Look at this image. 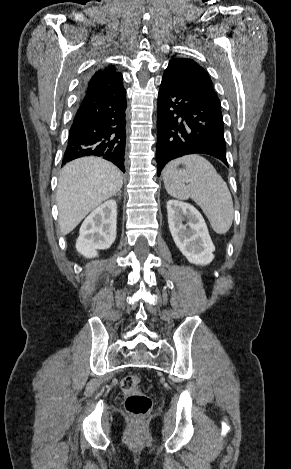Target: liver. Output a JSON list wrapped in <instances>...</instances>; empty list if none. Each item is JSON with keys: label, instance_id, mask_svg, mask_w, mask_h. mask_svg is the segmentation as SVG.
Segmentation results:
<instances>
[{"label": "liver", "instance_id": "obj_1", "mask_svg": "<svg viewBox=\"0 0 291 469\" xmlns=\"http://www.w3.org/2000/svg\"><path fill=\"white\" fill-rule=\"evenodd\" d=\"M122 185L120 170L106 160L84 157L68 163L60 173L56 193L62 234L70 233Z\"/></svg>", "mask_w": 291, "mask_h": 469}]
</instances>
